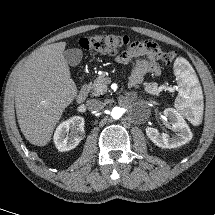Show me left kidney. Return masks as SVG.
<instances>
[{
	"mask_svg": "<svg viewBox=\"0 0 215 215\" xmlns=\"http://www.w3.org/2000/svg\"><path fill=\"white\" fill-rule=\"evenodd\" d=\"M163 113L171 121L172 130L177 132V135L170 138L166 133L160 134L157 129L147 127L148 138L161 148H176L189 142L192 139V132L181 114L173 108H167Z\"/></svg>",
	"mask_w": 215,
	"mask_h": 215,
	"instance_id": "obj_1",
	"label": "left kidney"
}]
</instances>
